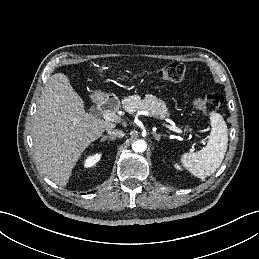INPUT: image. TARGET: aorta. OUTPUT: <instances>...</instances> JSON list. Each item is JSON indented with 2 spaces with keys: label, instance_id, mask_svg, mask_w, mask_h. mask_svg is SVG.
Returning <instances> with one entry per match:
<instances>
[{
  "label": "aorta",
  "instance_id": "obj_1",
  "mask_svg": "<svg viewBox=\"0 0 259 259\" xmlns=\"http://www.w3.org/2000/svg\"><path fill=\"white\" fill-rule=\"evenodd\" d=\"M146 142L144 140H137L135 142H133L132 144V149L135 152H144L146 150Z\"/></svg>",
  "mask_w": 259,
  "mask_h": 259
}]
</instances>
